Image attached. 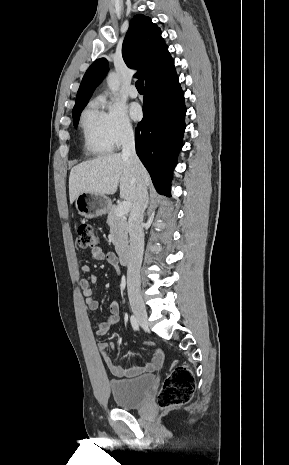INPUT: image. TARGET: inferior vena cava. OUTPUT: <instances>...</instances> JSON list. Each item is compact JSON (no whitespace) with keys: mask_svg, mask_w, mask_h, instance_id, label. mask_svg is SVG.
<instances>
[{"mask_svg":"<svg viewBox=\"0 0 289 465\" xmlns=\"http://www.w3.org/2000/svg\"><path fill=\"white\" fill-rule=\"evenodd\" d=\"M122 156L129 158L135 166L142 165L136 155L135 138L132 128H127L123 133ZM147 205V186L141 179H138L137 199L129 216L130 251L127 266V290L130 302L140 299V268L144 251L142 222Z\"/></svg>","mask_w":289,"mask_h":465,"instance_id":"obj_1","label":"inferior vena cava"}]
</instances>
